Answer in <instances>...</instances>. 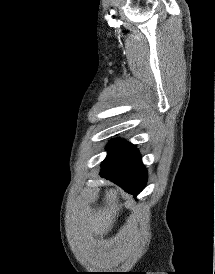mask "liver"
<instances>
[{
	"instance_id": "1",
	"label": "liver",
	"mask_w": 215,
	"mask_h": 274,
	"mask_svg": "<svg viewBox=\"0 0 215 274\" xmlns=\"http://www.w3.org/2000/svg\"><path fill=\"white\" fill-rule=\"evenodd\" d=\"M103 202L105 206L97 212L86 209H77L74 212L71 226L73 244L77 248L90 247L94 243V237H103L111 231L120 211L118 190H106Z\"/></svg>"
}]
</instances>
